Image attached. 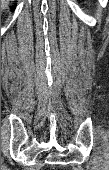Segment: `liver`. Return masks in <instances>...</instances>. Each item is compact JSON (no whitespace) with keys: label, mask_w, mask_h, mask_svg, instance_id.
Listing matches in <instances>:
<instances>
[{"label":"liver","mask_w":109,"mask_h":170,"mask_svg":"<svg viewBox=\"0 0 109 170\" xmlns=\"http://www.w3.org/2000/svg\"><path fill=\"white\" fill-rule=\"evenodd\" d=\"M10 0H2V8L4 9L9 4Z\"/></svg>","instance_id":"liver-1"}]
</instances>
